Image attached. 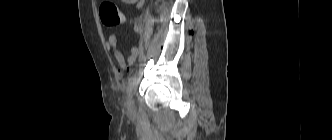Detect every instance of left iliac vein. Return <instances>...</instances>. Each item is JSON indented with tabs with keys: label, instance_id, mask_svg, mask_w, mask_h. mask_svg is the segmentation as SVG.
I'll list each match as a JSON object with an SVG mask.
<instances>
[{
	"label": "left iliac vein",
	"instance_id": "obj_1",
	"mask_svg": "<svg viewBox=\"0 0 332 140\" xmlns=\"http://www.w3.org/2000/svg\"><path fill=\"white\" fill-rule=\"evenodd\" d=\"M126 108H127V111L130 113L135 111V104H134V100L132 98V94H130L127 99Z\"/></svg>",
	"mask_w": 332,
	"mask_h": 140
}]
</instances>
